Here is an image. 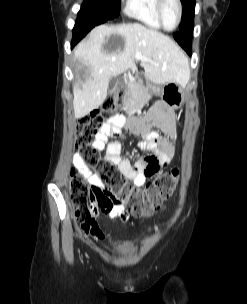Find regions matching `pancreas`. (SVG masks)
<instances>
[{
    "label": "pancreas",
    "mask_w": 247,
    "mask_h": 304,
    "mask_svg": "<svg viewBox=\"0 0 247 304\" xmlns=\"http://www.w3.org/2000/svg\"><path fill=\"white\" fill-rule=\"evenodd\" d=\"M132 88L129 90L126 88L124 95L122 97L123 109L127 113H134L140 109L145 102L151 99L152 95L156 91V87L149 86L145 87L143 83H138L137 81L129 82L128 86Z\"/></svg>",
    "instance_id": "pancreas-1"
}]
</instances>
